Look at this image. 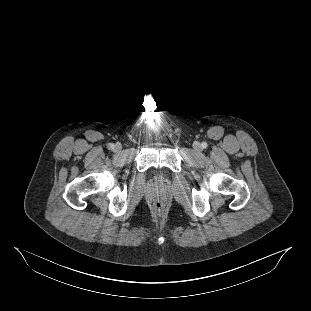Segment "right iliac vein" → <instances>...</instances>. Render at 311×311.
Instances as JSON below:
<instances>
[{"mask_svg": "<svg viewBox=\"0 0 311 311\" xmlns=\"http://www.w3.org/2000/svg\"><path fill=\"white\" fill-rule=\"evenodd\" d=\"M122 149V146L120 143H116L115 146H114V150L115 151H120Z\"/></svg>", "mask_w": 311, "mask_h": 311, "instance_id": "obj_1", "label": "right iliac vein"}]
</instances>
